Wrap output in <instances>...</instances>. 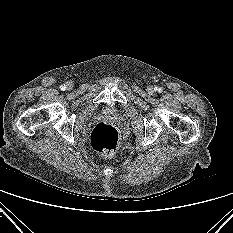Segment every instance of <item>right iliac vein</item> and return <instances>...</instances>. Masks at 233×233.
I'll return each mask as SVG.
<instances>
[{
  "mask_svg": "<svg viewBox=\"0 0 233 233\" xmlns=\"http://www.w3.org/2000/svg\"><path fill=\"white\" fill-rule=\"evenodd\" d=\"M72 87H73V83H72V82H70V81H69V82H67V88H68V89H71Z\"/></svg>",
  "mask_w": 233,
  "mask_h": 233,
  "instance_id": "1",
  "label": "right iliac vein"
}]
</instances>
